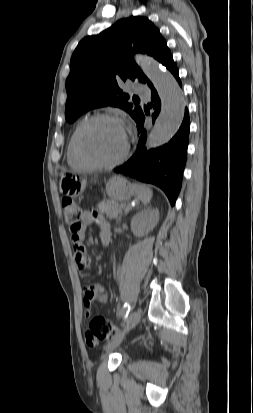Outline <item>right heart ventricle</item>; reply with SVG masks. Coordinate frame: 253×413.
<instances>
[{"label":"right heart ventricle","mask_w":253,"mask_h":413,"mask_svg":"<svg viewBox=\"0 0 253 413\" xmlns=\"http://www.w3.org/2000/svg\"><path fill=\"white\" fill-rule=\"evenodd\" d=\"M83 123V121L79 122L67 145V150H66V155H67V161L68 164L70 166H72L73 168H77V169H87L89 168V166L80 158V156L78 155L77 149H76V135L78 132V129L80 127V125Z\"/></svg>","instance_id":"obj_1"}]
</instances>
